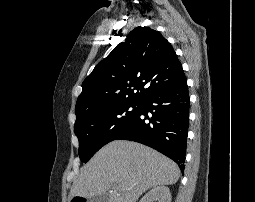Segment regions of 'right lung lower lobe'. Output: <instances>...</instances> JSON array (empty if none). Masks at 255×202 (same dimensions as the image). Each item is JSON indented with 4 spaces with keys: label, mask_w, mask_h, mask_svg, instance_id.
<instances>
[{
    "label": "right lung lower lobe",
    "mask_w": 255,
    "mask_h": 202,
    "mask_svg": "<svg viewBox=\"0 0 255 202\" xmlns=\"http://www.w3.org/2000/svg\"><path fill=\"white\" fill-rule=\"evenodd\" d=\"M190 97L187 81L161 90L141 102L138 114L115 140L150 146L174 160L184 171Z\"/></svg>",
    "instance_id": "1"
}]
</instances>
